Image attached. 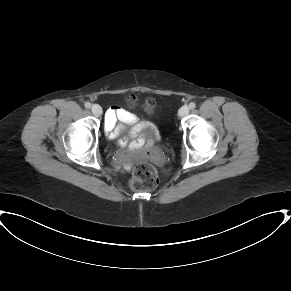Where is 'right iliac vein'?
<instances>
[{
    "mask_svg": "<svg viewBox=\"0 0 291 291\" xmlns=\"http://www.w3.org/2000/svg\"><path fill=\"white\" fill-rule=\"evenodd\" d=\"M91 111H92L93 115H95V116H97V117H98V116H101V114H102V112H103L101 106H99L98 104H94V105H92V107H91Z\"/></svg>",
    "mask_w": 291,
    "mask_h": 291,
    "instance_id": "right-iliac-vein-1",
    "label": "right iliac vein"
}]
</instances>
